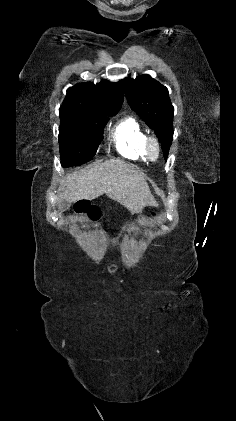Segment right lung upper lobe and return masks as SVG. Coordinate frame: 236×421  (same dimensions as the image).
Instances as JSON below:
<instances>
[{"label":"right lung upper lobe","mask_w":236,"mask_h":421,"mask_svg":"<svg viewBox=\"0 0 236 421\" xmlns=\"http://www.w3.org/2000/svg\"><path fill=\"white\" fill-rule=\"evenodd\" d=\"M123 98L124 92L121 82L112 83L108 80H102L96 85L88 82L69 88L63 104L120 109Z\"/></svg>","instance_id":"obj_1"}]
</instances>
